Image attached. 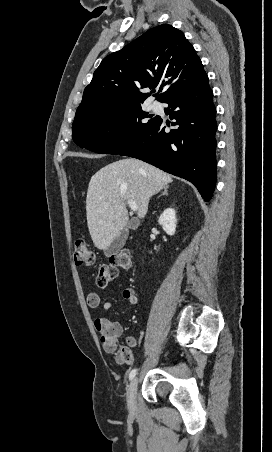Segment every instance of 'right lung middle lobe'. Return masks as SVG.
Returning a JSON list of instances; mask_svg holds the SVG:
<instances>
[{
    "label": "right lung middle lobe",
    "mask_w": 272,
    "mask_h": 452,
    "mask_svg": "<svg viewBox=\"0 0 272 452\" xmlns=\"http://www.w3.org/2000/svg\"><path fill=\"white\" fill-rule=\"evenodd\" d=\"M156 119L144 112L141 105L98 110L74 119L72 138L81 148L119 154L137 142Z\"/></svg>",
    "instance_id": "obj_1"
}]
</instances>
